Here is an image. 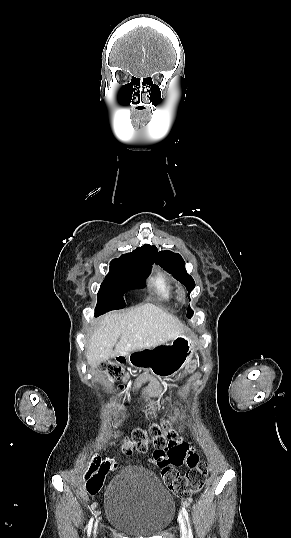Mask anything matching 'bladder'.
Listing matches in <instances>:
<instances>
[{
  "instance_id": "obj_1",
  "label": "bladder",
  "mask_w": 291,
  "mask_h": 538,
  "mask_svg": "<svg viewBox=\"0 0 291 538\" xmlns=\"http://www.w3.org/2000/svg\"><path fill=\"white\" fill-rule=\"evenodd\" d=\"M105 514L111 526L133 538H151L172 521L174 501L150 471L127 466L109 481Z\"/></svg>"
}]
</instances>
